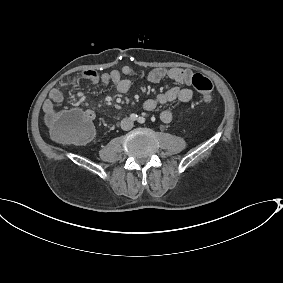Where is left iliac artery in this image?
<instances>
[{"label":"left iliac artery","mask_w":283,"mask_h":283,"mask_svg":"<svg viewBox=\"0 0 283 283\" xmlns=\"http://www.w3.org/2000/svg\"><path fill=\"white\" fill-rule=\"evenodd\" d=\"M138 122L142 124V123L145 122V119H144L143 117H139V118H138Z\"/></svg>","instance_id":"obj_1"}]
</instances>
